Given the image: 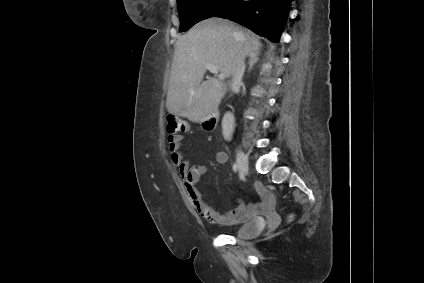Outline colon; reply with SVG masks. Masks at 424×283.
I'll return each instance as SVG.
<instances>
[{
	"instance_id": "obj_1",
	"label": "colon",
	"mask_w": 424,
	"mask_h": 283,
	"mask_svg": "<svg viewBox=\"0 0 424 283\" xmlns=\"http://www.w3.org/2000/svg\"><path fill=\"white\" fill-rule=\"evenodd\" d=\"M166 129L170 134H176L186 129V123L177 115H168L166 117Z\"/></svg>"
}]
</instances>
